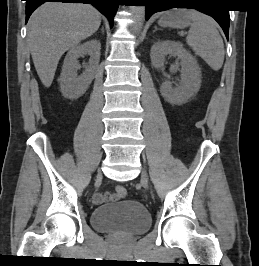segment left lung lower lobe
Segmentation results:
<instances>
[{
    "label": "left lung lower lobe",
    "mask_w": 259,
    "mask_h": 266,
    "mask_svg": "<svg viewBox=\"0 0 259 266\" xmlns=\"http://www.w3.org/2000/svg\"><path fill=\"white\" fill-rule=\"evenodd\" d=\"M146 6V20L155 12L164 11L168 8H180L181 5L199 6L197 10L212 16L222 27L226 37L229 31V11L223 8H214L209 4L217 2L216 0H195L188 2L186 0H140ZM188 8V7H187Z\"/></svg>",
    "instance_id": "obj_1"
}]
</instances>
